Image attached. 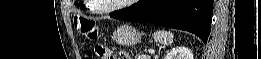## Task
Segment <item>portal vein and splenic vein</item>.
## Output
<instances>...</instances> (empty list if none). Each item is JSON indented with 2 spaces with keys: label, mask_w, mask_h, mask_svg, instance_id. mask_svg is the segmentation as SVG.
Wrapping results in <instances>:
<instances>
[{
  "label": "portal vein and splenic vein",
  "mask_w": 261,
  "mask_h": 59,
  "mask_svg": "<svg viewBox=\"0 0 261 59\" xmlns=\"http://www.w3.org/2000/svg\"><path fill=\"white\" fill-rule=\"evenodd\" d=\"M148 52H149L150 54H154V50H152V49H150Z\"/></svg>",
  "instance_id": "18ae733b"
}]
</instances>
